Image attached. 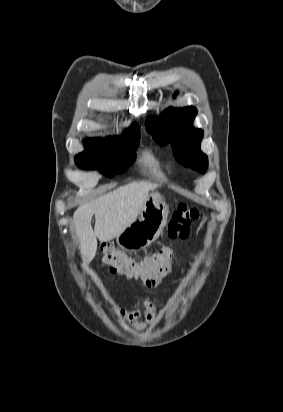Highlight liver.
<instances>
[{"label": "liver", "mask_w": 283, "mask_h": 412, "mask_svg": "<svg viewBox=\"0 0 283 412\" xmlns=\"http://www.w3.org/2000/svg\"><path fill=\"white\" fill-rule=\"evenodd\" d=\"M156 188V184L147 181L132 182L78 207L73 221L80 243L83 267L96 255L97 238L101 242H108L121 234L137 220L148 199L149 191ZM93 215L94 230L91 226Z\"/></svg>", "instance_id": "6515ba94"}]
</instances>
